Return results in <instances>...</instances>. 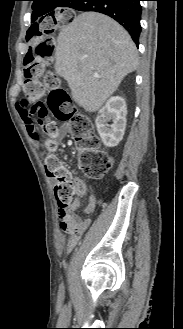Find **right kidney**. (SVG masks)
Here are the masks:
<instances>
[{"mask_svg": "<svg viewBox=\"0 0 183 329\" xmlns=\"http://www.w3.org/2000/svg\"><path fill=\"white\" fill-rule=\"evenodd\" d=\"M127 107L122 97L113 96L100 109L95 123L97 131L106 147L117 146L126 128ZM112 121L109 125L108 122Z\"/></svg>", "mask_w": 183, "mask_h": 329, "instance_id": "1", "label": "right kidney"}]
</instances>
